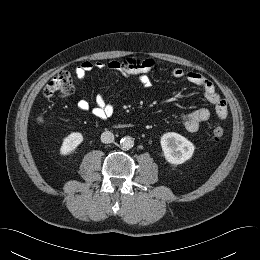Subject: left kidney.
I'll return each instance as SVG.
<instances>
[{
	"mask_svg": "<svg viewBox=\"0 0 260 260\" xmlns=\"http://www.w3.org/2000/svg\"><path fill=\"white\" fill-rule=\"evenodd\" d=\"M165 159L171 164H182L194 153V145L188 139L175 132L165 133L160 140Z\"/></svg>",
	"mask_w": 260,
	"mask_h": 260,
	"instance_id": "5707ae66",
	"label": "left kidney"
}]
</instances>
